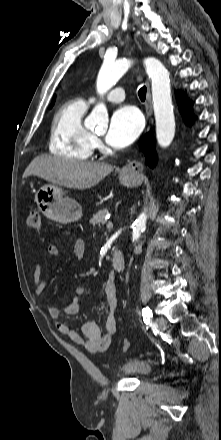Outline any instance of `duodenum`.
<instances>
[{
  "label": "duodenum",
  "mask_w": 221,
  "mask_h": 440,
  "mask_svg": "<svg viewBox=\"0 0 221 440\" xmlns=\"http://www.w3.org/2000/svg\"><path fill=\"white\" fill-rule=\"evenodd\" d=\"M125 268V257L121 250L115 249L112 253V269L113 272H121Z\"/></svg>",
  "instance_id": "1"
}]
</instances>
